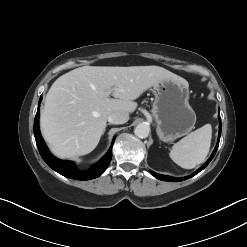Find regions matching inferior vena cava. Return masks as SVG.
<instances>
[{"label":"inferior vena cava","instance_id":"602c4592","mask_svg":"<svg viewBox=\"0 0 247 247\" xmlns=\"http://www.w3.org/2000/svg\"><path fill=\"white\" fill-rule=\"evenodd\" d=\"M129 120V114L124 111H113L108 116V122L112 124H124Z\"/></svg>","mask_w":247,"mask_h":247}]
</instances>
